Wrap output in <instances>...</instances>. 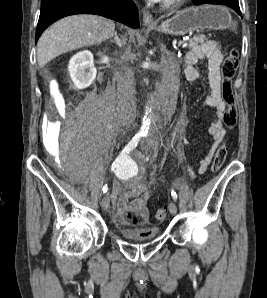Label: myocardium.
Instances as JSON below:
<instances>
[{
    "label": "myocardium",
    "instance_id": "1",
    "mask_svg": "<svg viewBox=\"0 0 267 298\" xmlns=\"http://www.w3.org/2000/svg\"><path fill=\"white\" fill-rule=\"evenodd\" d=\"M186 0H162V7L165 9H173L181 4H183Z\"/></svg>",
    "mask_w": 267,
    "mask_h": 298
}]
</instances>
